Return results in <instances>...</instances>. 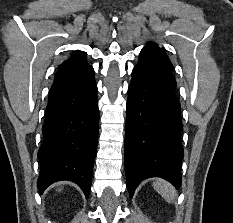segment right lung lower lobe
Segmentation results:
<instances>
[{"label":"right lung lower lobe","mask_w":233,"mask_h":223,"mask_svg":"<svg viewBox=\"0 0 233 223\" xmlns=\"http://www.w3.org/2000/svg\"><path fill=\"white\" fill-rule=\"evenodd\" d=\"M45 117L38 151L40 193L56 181L70 180L88 197L99 123L97 85L91 65L58 69Z\"/></svg>","instance_id":"1"}]
</instances>
